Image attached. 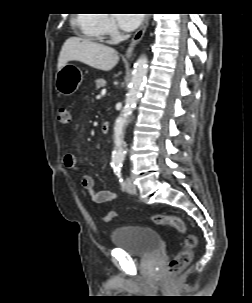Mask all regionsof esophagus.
Listing matches in <instances>:
<instances>
[{
	"mask_svg": "<svg viewBox=\"0 0 252 303\" xmlns=\"http://www.w3.org/2000/svg\"><path fill=\"white\" fill-rule=\"evenodd\" d=\"M149 21H150V15L146 14L144 17V20L141 24V26L139 27V29L136 31V33L134 34L128 48L126 51V57L130 58L133 55V51L135 46L139 43V41L142 39L147 26L149 25Z\"/></svg>",
	"mask_w": 252,
	"mask_h": 303,
	"instance_id": "obj_1",
	"label": "esophagus"
}]
</instances>
